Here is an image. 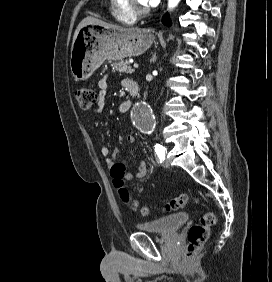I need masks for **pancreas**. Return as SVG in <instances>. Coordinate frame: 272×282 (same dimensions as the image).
Returning a JSON list of instances; mask_svg holds the SVG:
<instances>
[{"label":"pancreas","instance_id":"obj_1","mask_svg":"<svg viewBox=\"0 0 272 282\" xmlns=\"http://www.w3.org/2000/svg\"><path fill=\"white\" fill-rule=\"evenodd\" d=\"M111 66L115 71H119L120 73H132L134 70L132 69L130 62L119 60L117 62H110Z\"/></svg>","mask_w":272,"mask_h":282}]
</instances>
